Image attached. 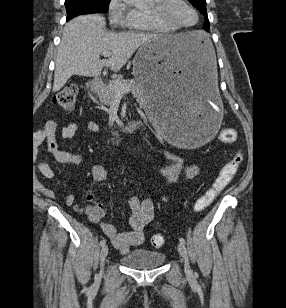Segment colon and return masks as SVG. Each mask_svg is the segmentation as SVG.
<instances>
[{
    "instance_id": "1",
    "label": "colon",
    "mask_w": 286,
    "mask_h": 308,
    "mask_svg": "<svg viewBox=\"0 0 286 308\" xmlns=\"http://www.w3.org/2000/svg\"><path fill=\"white\" fill-rule=\"evenodd\" d=\"M77 93V86H66L54 96L53 105L62 110L71 111L75 106ZM219 139L224 143L232 144L237 140V132L233 128H224L219 133ZM241 161L242 155L236 153L222 166L210 188L195 203L194 208L196 211H202L208 207L217 195L232 182L238 172ZM151 243L154 247L160 248L165 244V240L162 235L157 234L152 236Z\"/></svg>"
}]
</instances>
